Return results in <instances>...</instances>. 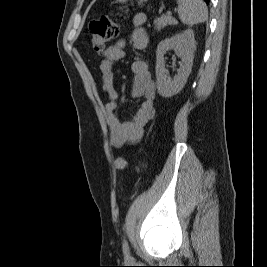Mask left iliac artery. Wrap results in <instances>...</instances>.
I'll list each match as a JSON object with an SVG mask.
<instances>
[{
    "instance_id": "obj_1",
    "label": "left iliac artery",
    "mask_w": 267,
    "mask_h": 267,
    "mask_svg": "<svg viewBox=\"0 0 267 267\" xmlns=\"http://www.w3.org/2000/svg\"><path fill=\"white\" fill-rule=\"evenodd\" d=\"M122 247H123L124 254L128 257L129 256V246H128V242L126 240H124Z\"/></svg>"
}]
</instances>
